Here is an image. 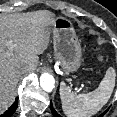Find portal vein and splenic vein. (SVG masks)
Listing matches in <instances>:
<instances>
[{"label":"portal vein and splenic vein","instance_id":"18ae733b","mask_svg":"<svg viewBox=\"0 0 117 117\" xmlns=\"http://www.w3.org/2000/svg\"><path fill=\"white\" fill-rule=\"evenodd\" d=\"M12 53H13V47L11 46V43H10L9 54H12Z\"/></svg>","mask_w":117,"mask_h":117}]
</instances>
